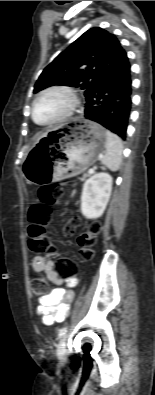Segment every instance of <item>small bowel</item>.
Returning a JSON list of instances; mask_svg holds the SVG:
<instances>
[{"instance_id":"obj_1","label":"small bowel","mask_w":155,"mask_h":395,"mask_svg":"<svg viewBox=\"0 0 155 395\" xmlns=\"http://www.w3.org/2000/svg\"><path fill=\"white\" fill-rule=\"evenodd\" d=\"M32 269L35 273H44L47 279L57 286L64 282L68 285V288L56 287L48 294L41 296L36 309L45 325L64 320L68 314L70 302L74 297L71 288L77 282L75 275H70V281H61V275L57 274L55 262L43 255H37L33 258Z\"/></svg>"}]
</instances>
